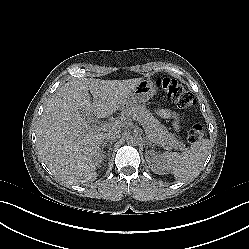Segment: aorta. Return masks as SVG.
Masks as SVG:
<instances>
[{
    "instance_id": "obj_1",
    "label": "aorta",
    "mask_w": 249,
    "mask_h": 249,
    "mask_svg": "<svg viewBox=\"0 0 249 249\" xmlns=\"http://www.w3.org/2000/svg\"><path fill=\"white\" fill-rule=\"evenodd\" d=\"M139 137L136 134H129L126 137V142L130 145H136L138 143Z\"/></svg>"
}]
</instances>
